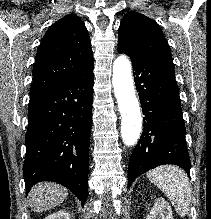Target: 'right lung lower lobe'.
Wrapping results in <instances>:
<instances>
[{"label": "right lung lower lobe", "mask_w": 211, "mask_h": 219, "mask_svg": "<svg viewBox=\"0 0 211 219\" xmlns=\"http://www.w3.org/2000/svg\"><path fill=\"white\" fill-rule=\"evenodd\" d=\"M93 65L53 89L30 97L26 158V193L40 181L58 182L84 205L88 195L92 124Z\"/></svg>", "instance_id": "obj_1"}]
</instances>
